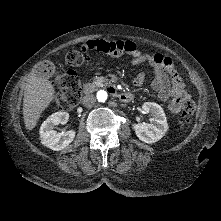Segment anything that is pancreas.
<instances>
[{"instance_id":"1","label":"pancreas","mask_w":221,"mask_h":221,"mask_svg":"<svg viewBox=\"0 0 221 221\" xmlns=\"http://www.w3.org/2000/svg\"><path fill=\"white\" fill-rule=\"evenodd\" d=\"M109 84L110 81L108 79H106L105 77H98V76H96L92 82V86L94 87H103Z\"/></svg>"}]
</instances>
